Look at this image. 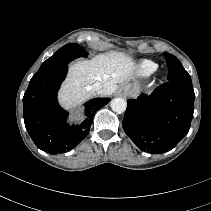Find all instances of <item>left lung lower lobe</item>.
Returning a JSON list of instances; mask_svg holds the SVG:
<instances>
[{"mask_svg":"<svg viewBox=\"0 0 211 211\" xmlns=\"http://www.w3.org/2000/svg\"><path fill=\"white\" fill-rule=\"evenodd\" d=\"M194 98L192 83L168 81L150 96L127 101L123 129L142 151H170L189 131Z\"/></svg>","mask_w":211,"mask_h":211,"instance_id":"1","label":"left lung lower lobe"}]
</instances>
